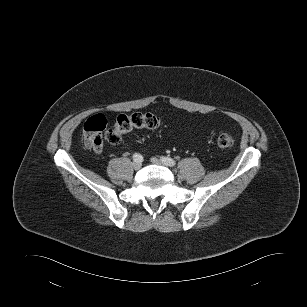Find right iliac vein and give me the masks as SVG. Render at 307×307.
<instances>
[{
    "label": "right iliac vein",
    "mask_w": 307,
    "mask_h": 307,
    "mask_svg": "<svg viewBox=\"0 0 307 307\" xmlns=\"http://www.w3.org/2000/svg\"><path fill=\"white\" fill-rule=\"evenodd\" d=\"M141 166H142V163L140 161H134L133 162V168L135 170H139L141 168Z\"/></svg>",
    "instance_id": "63e3f726"
}]
</instances>
